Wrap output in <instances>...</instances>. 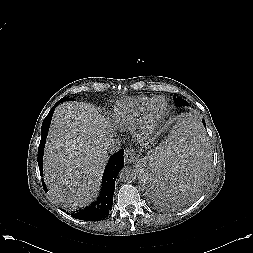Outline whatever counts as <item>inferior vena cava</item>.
I'll return each instance as SVG.
<instances>
[{
	"instance_id": "inferior-vena-cava-1",
	"label": "inferior vena cava",
	"mask_w": 253,
	"mask_h": 253,
	"mask_svg": "<svg viewBox=\"0 0 253 253\" xmlns=\"http://www.w3.org/2000/svg\"><path fill=\"white\" fill-rule=\"evenodd\" d=\"M121 142L119 140L111 139L108 143L105 145V149L109 153H114L120 149Z\"/></svg>"
}]
</instances>
